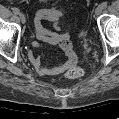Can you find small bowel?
I'll return each instance as SVG.
<instances>
[{
	"label": "small bowel",
	"instance_id": "1",
	"mask_svg": "<svg viewBox=\"0 0 119 119\" xmlns=\"http://www.w3.org/2000/svg\"><path fill=\"white\" fill-rule=\"evenodd\" d=\"M64 19V11L55 6L40 8L34 15V34L36 38L51 46H59L67 56L65 61L60 62L53 67H47L42 63L40 55L36 54L34 51L30 52L29 60L41 76L58 75L66 69L75 67L77 64V57L72 51L69 35L65 33L59 34L50 32L44 28L42 24L45 20L50 21L57 31H62L64 28ZM32 46L36 49L42 48V44L38 41H33Z\"/></svg>",
	"mask_w": 119,
	"mask_h": 119
}]
</instances>
